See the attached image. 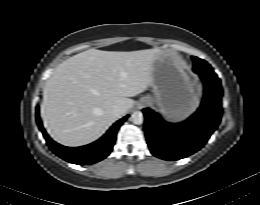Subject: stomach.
I'll return each instance as SVG.
<instances>
[{
	"label": "stomach",
	"mask_w": 260,
	"mask_h": 205,
	"mask_svg": "<svg viewBox=\"0 0 260 205\" xmlns=\"http://www.w3.org/2000/svg\"><path fill=\"white\" fill-rule=\"evenodd\" d=\"M151 87L154 98H145L149 103H155L168 120H181L196 107L194 83L174 54L163 52L154 62Z\"/></svg>",
	"instance_id": "stomach-1"
}]
</instances>
